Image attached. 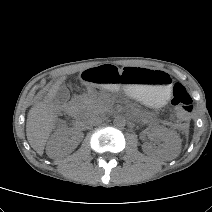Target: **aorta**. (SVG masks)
I'll list each match as a JSON object with an SVG mask.
<instances>
[{
    "label": "aorta",
    "mask_w": 212,
    "mask_h": 212,
    "mask_svg": "<svg viewBox=\"0 0 212 212\" xmlns=\"http://www.w3.org/2000/svg\"><path fill=\"white\" fill-rule=\"evenodd\" d=\"M114 125L117 127H124L126 124V120L123 116H116L113 121Z\"/></svg>",
    "instance_id": "1"
}]
</instances>
